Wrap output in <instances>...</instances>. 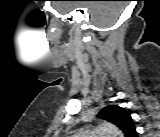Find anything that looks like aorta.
I'll return each mask as SVG.
<instances>
[{
	"label": "aorta",
	"mask_w": 160,
	"mask_h": 137,
	"mask_svg": "<svg viewBox=\"0 0 160 137\" xmlns=\"http://www.w3.org/2000/svg\"><path fill=\"white\" fill-rule=\"evenodd\" d=\"M99 132L107 134L109 136H114V137L123 136L122 132L115 125L107 122H104L102 124V126L99 129Z\"/></svg>",
	"instance_id": "obj_1"
}]
</instances>
